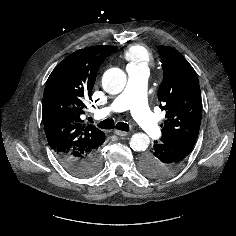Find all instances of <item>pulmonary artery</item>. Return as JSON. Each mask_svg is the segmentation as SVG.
I'll return each mask as SVG.
<instances>
[{"label": "pulmonary artery", "instance_id": "1", "mask_svg": "<svg viewBox=\"0 0 236 236\" xmlns=\"http://www.w3.org/2000/svg\"><path fill=\"white\" fill-rule=\"evenodd\" d=\"M128 83L124 91L118 95L107 107L100 110L101 116L112 112L130 110L134 119L152 137L161 134L156 117L150 111L146 102V84L149 70L144 66L127 67Z\"/></svg>", "mask_w": 236, "mask_h": 236}]
</instances>
